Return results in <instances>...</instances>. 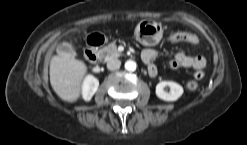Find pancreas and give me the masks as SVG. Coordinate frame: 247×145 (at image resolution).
<instances>
[{"label":"pancreas","instance_id":"1","mask_svg":"<svg viewBox=\"0 0 247 145\" xmlns=\"http://www.w3.org/2000/svg\"><path fill=\"white\" fill-rule=\"evenodd\" d=\"M99 56L105 61L111 58H118L121 53L117 50V45L113 42L99 50Z\"/></svg>","mask_w":247,"mask_h":145}]
</instances>
